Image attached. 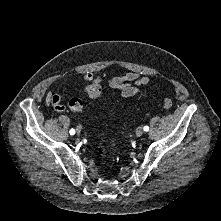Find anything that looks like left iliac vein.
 I'll return each mask as SVG.
<instances>
[{"instance_id":"obj_1","label":"left iliac vein","mask_w":221,"mask_h":221,"mask_svg":"<svg viewBox=\"0 0 221 221\" xmlns=\"http://www.w3.org/2000/svg\"><path fill=\"white\" fill-rule=\"evenodd\" d=\"M135 134H136V136L140 137L143 135V130L139 128L136 130Z\"/></svg>"}]
</instances>
